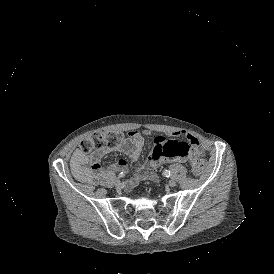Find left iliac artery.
Instances as JSON below:
<instances>
[{"label":"left iliac artery","instance_id":"left-iliac-artery-1","mask_svg":"<svg viewBox=\"0 0 274 274\" xmlns=\"http://www.w3.org/2000/svg\"><path fill=\"white\" fill-rule=\"evenodd\" d=\"M163 175H164L165 177L169 178V177L171 176V173H170L169 170H164Z\"/></svg>","mask_w":274,"mask_h":274}]
</instances>
